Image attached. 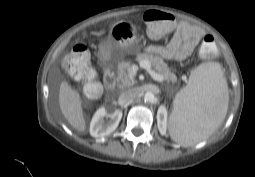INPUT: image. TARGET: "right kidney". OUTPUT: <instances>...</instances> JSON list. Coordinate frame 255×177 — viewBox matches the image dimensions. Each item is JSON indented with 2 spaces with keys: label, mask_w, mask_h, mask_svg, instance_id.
<instances>
[{
  "label": "right kidney",
  "mask_w": 255,
  "mask_h": 177,
  "mask_svg": "<svg viewBox=\"0 0 255 177\" xmlns=\"http://www.w3.org/2000/svg\"><path fill=\"white\" fill-rule=\"evenodd\" d=\"M109 116L110 120L105 123L104 117ZM122 118V112L116 110L111 114H107L104 107L99 108L90 123V134L95 138H104L109 135L118 127L119 122Z\"/></svg>",
  "instance_id": "right-kidney-1"
}]
</instances>
